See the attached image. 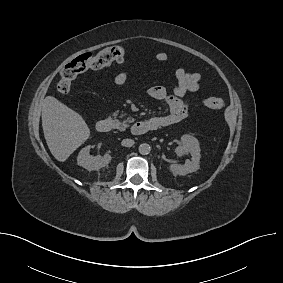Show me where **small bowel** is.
<instances>
[{
    "label": "small bowel",
    "mask_w": 283,
    "mask_h": 283,
    "mask_svg": "<svg viewBox=\"0 0 283 283\" xmlns=\"http://www.w3.org/2000/svg\"><path fill=\"white\" fill-rule=\"evenodd\" d=\"M168 58L169 56L165 52H159L154 56L157 62H165ZM174 75L176 85L172 94H169L167 89L161 85H155L148 89L149 97L165 102L168 107L166 115L152 118L158 122L159 127L170 126L184 120L189 112L186 94L188 92H197L200 89V74L189 72L185 68L180 67L176 69ZM127 78V72L121 71L114 76L113 82L115 85L120 86L127 81Z\"/></svg>",
    "instance_id": "c3829d8e"
}]
</instances>
